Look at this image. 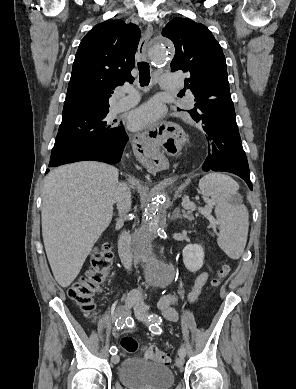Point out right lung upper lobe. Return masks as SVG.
<instances>
[{"instance_id": "right-lung-upper-lobe-1", "label": "right lung upper lobe", "mask_w": 296, "mask_h": 389, "mask_svg": "<svg viewBox=\"0 0 296 389\" xmlns=\"http://www.w3.org/2000/svg\"><path fill=\"white\" fill-rule=\"evenodd\" d=\"M139 39L137 25L112 19L86 34L75 56L62 117L109 112L112 90L134 81L131 70Z\"/></svg>"}]
</instances>
